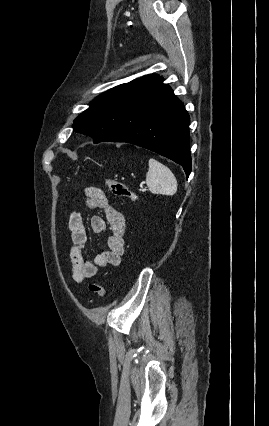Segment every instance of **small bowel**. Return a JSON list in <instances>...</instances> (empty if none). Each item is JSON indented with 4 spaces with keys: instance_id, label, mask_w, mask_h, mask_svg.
Listing matches in <instances>:
<instances>
[{
    "instance_id": "small-bowel-1",
    "label": "small bowel",
    "mask_w": 269,
    "mask_h": 426,
    "mask_svg": "<svg viewBox=\"0 0 269 426\" xmlns=\"http://www.w3.org/2000/svg\"><path fill=\"white\" fill-rule=\"evenodd\" d=\"M86 208L99 210L100 215H94L90 219V226L95 234L109 232L106 248L90 260L83 255L87 246L88 236L81 215L71 212L68 216L67 226L71 233L72 246L70 260L72 264L71 274L75 283L82 284L93 278L98 268L119 266L125 252V221L122 214L114 209L105 192L99 187H87L85 189Z\"/></svg>"
}]
</instances>
